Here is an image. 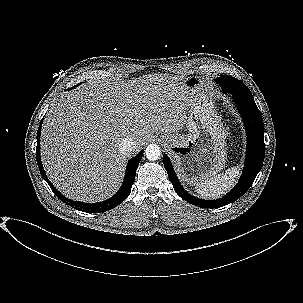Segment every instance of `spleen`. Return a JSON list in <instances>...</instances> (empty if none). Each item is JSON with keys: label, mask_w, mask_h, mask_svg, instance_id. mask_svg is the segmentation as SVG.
I'll return each instance as SVG.
<instances>
[{"label": "spleen", "mask_w": 303, "mask_h": 303, "mask_svg": "<svg viewBox=\"0 0 303 303\" xmlns=\"http://www.w3.org/2000/svg\"><path fill=\"white\" fill-rule=\"evenodd\" d=\"M238 175L239 167L228 168L225 173L218 174L204 182L196 184L195 191L204 198H218L234 185Z\"/></svg>", "instance_id": "1"}]
</instances>
